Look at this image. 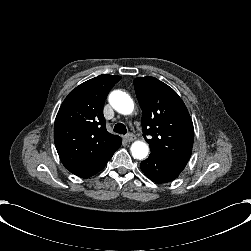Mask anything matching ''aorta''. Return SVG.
<instances>
[{"mask_svg": "<svg viewBox=\"0 0 251 251\" xmlns=\"http://www.w3.org/2000/svg\"><path fill=\"white\" fill-rule=\"evenodd\" d=\"M109 103L117 112L123 115L131 114L134 109V103L131 97L120 90H115L110 93ZM130 150L134 159L143 160L148 155L149 147L142 141H135L131 145Z\"/></svg>", "mask_w": 251, "mask_h": 251, "instance_id": "1", "label": "aorta"}]
</instances>
